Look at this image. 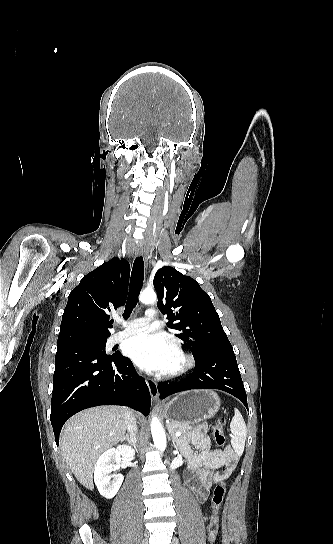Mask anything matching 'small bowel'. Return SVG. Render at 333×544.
Instances as JSON below:
<instances>
[{"label": "small bowel", "mask_w": 333, "mask_h": 544, "mask_svg": "<svg viewBox=\"0 0 333 544\" xmlns=\"http://www.w3.org/2000/svg\"><path fill=\"white\" fill-rule=\"evenodd\" d=\"M190 444L198 451H193ZM181 446L188 461L184 472L185 483L203 502L209 496L212 485L222 479L218 469L226 466L227 474L231 473L237 465L238 455L230 446L225 450L212 449L210 438L200 431L183 440Z\"/></svg>", "instance_id": "obj_1"}]
</instances>
